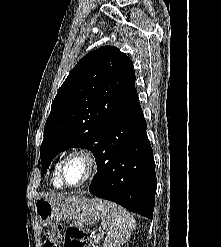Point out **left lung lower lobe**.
Masks as SVG:
<instances>
[{
	"label": "left lung lower lobe",
	"instance_id": "1",
	"mask_svg": "<svg viewBox=\"0 0 221 247\" xmlns=\"http://www.w3.org/2000/svg\"><path fill=\"white\" fill-rule=\"evenodd\" d=\"M146 128L141 108L104 128L89 192L152 219L157 181Z\"/></svg>",
	"mask_w": 221,
	"mask_h": 247
}]
</instances>
